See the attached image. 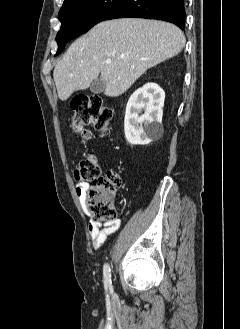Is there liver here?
Returning <instances> with one entry per match:
<instances>
[{"label": "liver", "mask_w": 240, "mask_h": 329, "mask_svg": "<svg viewBox=\"0 0 240 329\" xmlns=\"http://www.w3.org/2000/svg\"><path fill=\"white\" fill-rule=\"evenodd\" d=\"M184 44L182 31L167 22H101L74 41L56 64L53 77L58 97L67 100L75 91L88 88L99 74L106 84L105 95L118 97L149 68L178 55Z\"/></svg>", "instance_id": "1"}]
</instances>
